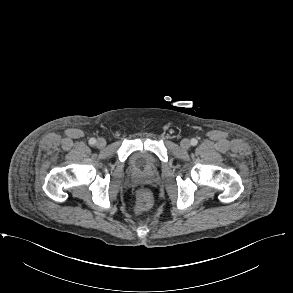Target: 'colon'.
I'll return each mask as SVG.
<instances>
[{"instance_id": "obj_1", "label": "colon", "mask_w": 293, "mask_h": 293, "mask_svg": "<svg viewBox=\"0 0 293 293\" xmlns=\"http://www.w3.org/2000/svg\"><path fill=\"white\" fill-rule=\"evenodd\" d=\"M152 205V196L145 189H139L137 191V201L135 210L137 213H143L147 211Z\"/></svg>"}]
</instances>
